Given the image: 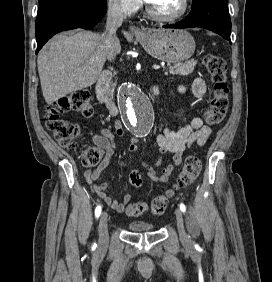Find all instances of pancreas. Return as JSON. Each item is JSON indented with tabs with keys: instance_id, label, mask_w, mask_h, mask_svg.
Wrapping results in <instances>:
<instances>
[{
	"instance_id": "obj_1",
	"label": "pancreas",
	"mask_w": 272,
	"mask_h": 282,
	"mask_svg": "<svg viewBox=\"0 0 272 282\" xmlns=\"http://www.w3.org/2000/svg\"><path fill=\"white\" fill-rule=\"evenodd\" d=\"M196 64H197L196 61L191 60L184 64L177 63L174 66L168 65V67L164 70L165 71L164 74L165 75L172 74V75H180V76L189 75L190 73L193 72ZM113 89H114V85H113Z\"/></svg>"
}]
</instances>
